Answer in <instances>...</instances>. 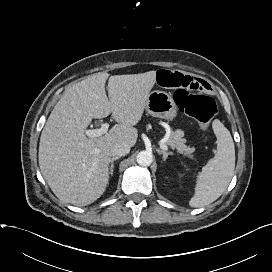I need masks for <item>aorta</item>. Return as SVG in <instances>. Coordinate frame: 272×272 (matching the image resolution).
Returning a JSON list of instances; mask_svg holds the SVG:
<instances>
[{"label": "aorta", "mask_w": 272, "mask_h": 272, "mask_svg": "<svg viewBox=\"0 0 272 272\" xmlns=\"http://www.w3.org/2000/svg\"><path fill=\"white\" fill-rule=\"evenodd\" d=\"M136 158L137 163L143 167L150 166L153 161L152 153L148 151H140Z\"/></svg>", "instance_id": "obj_1"}]
</instances>
